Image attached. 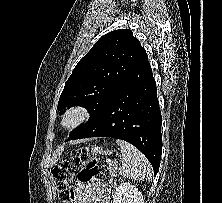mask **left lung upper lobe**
Returning a JSON list of instances; mask_svg holds the SVG:
<instances>
[{
  "mask_svg": "<svg viewBox=\"0 0 222 203\" xmlns=\"http://www.w3.org/2000/svg\"><path fill=\"white\" fill-rule=\"evenodd\" d=\"M145 56V49L129 29L114 30L94 44L65 83L57 106L62 110L60 114L72 106L84 107L90 113L88 122L75 128L67 141L97 117L113 92Z\"/></svg>",
  "mask_w": 222,
  "mask_h": 203,
  "instance_id": "5c2ea615",
  "label": "left lung upper lobe"
}]
</instances>
